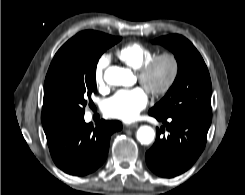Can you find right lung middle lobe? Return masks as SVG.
Returning a JSON list of instances; mask_svg holds the SVG:
<instances>
[{"mask_svg":"<svg viewBox=\"0 0 245 195\" xmlns=\"http://www.w3.org/2000/svg\"><path fill=\"white\" fill-rule=\"evenodd\" d=\"M120 40L104 33L76 35L57 51L46 75L44 95L65 122L84 116L87 101L96 91L97 62Z\"/></svg>","mask_w":245,"mask_h":195,"instance_id":"1","label":"right lung middle lobe"}]
</instances>
